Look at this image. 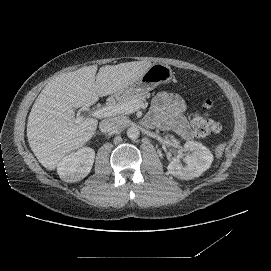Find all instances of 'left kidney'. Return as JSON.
<instances>
[{
	"label": "left kidney",
	"instance_id": "1",
	"mask_svg": "<svg viewBox=\"0 0 271 271\" xmlns=\"http://www.w3.org/2000/svg\"><path fill=\"white\" fill-rule=\"evenodd\" d=\"M185 151L190 152L184 158L186 166H182L178 159L169 163L168 172L180 179L189 180L199 177L209 169L213 161V155L209 149L199 142L188 141L184 145Z\"/></svg>",
	"mask_w": 271,
	"mask_h": 271
}]
</instances>
